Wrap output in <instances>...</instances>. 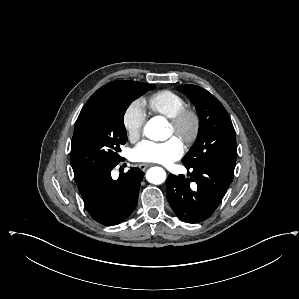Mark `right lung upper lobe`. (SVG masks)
<instances>
[{
  "instance_id": "1",
  "label": "right lung upper lobe",
  "mask_w": 299,
  "mask_h": 299,
  "mask_svg": "<svg viewBox=\"0 0 299 299\" xmlns=\"http://www.w3.org/2000/svg\"><path fill=\"white\" fill-rule=\"evenodd\" d=\"M141 82H134V81H114L110 82L101 88H99L87 101L85 106L83 107L82 111L93 105L95 102H97L102 97L121 90V89H127V88H135L140 86Z\"/></svg>"
}]
</instances>
